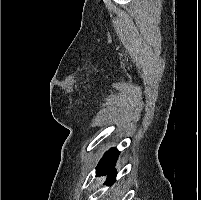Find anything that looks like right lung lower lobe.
<instances>
[{
    "label": "right lung lower lobe",
    "mask_w": 201,
    "mask_h": 200,
    "mask_svg": "<svg viewBox=\"0 0 201 200\" xmlns=\"http://www.w3.org/2000/svg\"><path fill=\"white\" fill-rule=\"evenodd\" d=\"M119 154L120 152L115 148L109 150L104 154L103 158L100 160L96 168L97 176L105 174L109 176L107 181L105 182L106 185H111L115 181L116 172L114 166Z\"/></svg>",
    "instance_id": "obj_1"
}]
</instances>
